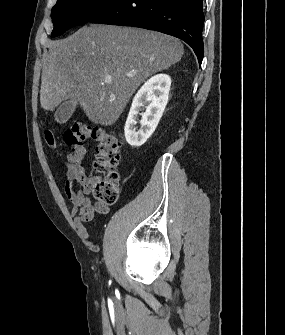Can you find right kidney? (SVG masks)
<instances>
[{"mask_svg":"<svg viewBox=\"0 0 285 335\" xmlns=\"http://www.w3.org/2000/svg\"><path fill=\"white\" fill-rule=\"evenodd\" d=\"M170 86V76L157 74L147 80L134 96L124 128L126 142L133 148L143 146L156 130L167 106ZM143 106L146 110L143 114H139ZM138 114L142 116L141 130L135 132Z\"/></svg>","mask_w":285,"mask_h":335,"instance_id":"1","label":"right kidney"}]
</instances>
